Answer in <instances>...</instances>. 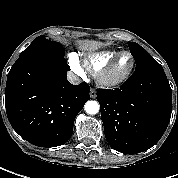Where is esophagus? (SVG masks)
I'll list each match as a JSON object with an SVG mask.
<instances>
[{
    "label": "esophagus",
    "mask_w": 178,
    "mask_h": 178,
    "mask_svg": "<svg viewBox=\"0 0 178 178\" xmlns=\"http://www.w3.org/2000/svg\"><path fill=\"white\" fill-rule=\"evenodd\" d=\"M90 97L93 98V99L97 97V92L93 88L90 90Z\"/></svg>",
    "instance_id": "1"
}]
</instances>
